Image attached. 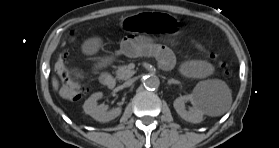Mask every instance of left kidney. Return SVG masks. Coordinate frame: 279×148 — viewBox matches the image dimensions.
I'll return each instance as SVG.
<instances>
[{"label": "left kidney", "instance_id": "obj_1", "mask_svg": "<svg viewBox=\"0 0 279 148\" xmlns=\"http://www.w3.org/2000/svg\"><path fill=\"white\" fill-rule=\"evenodd\" d=\"M188 101L191 102L192 107L186 110L185 103ZM173 106L181 118L191 123H200L206 113V106L195 91L192 94L176 98Z\"/></svg>", "mask_w": 279, "mask_h": 148}]
</instances>
